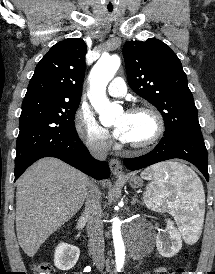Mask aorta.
<instances>
[{
    "mask_svg": "<svg viewBox=\"0 0 215 274\" xmlns=\"http://www.w3.org/2000/svg\"><path fill=\"white\" fill-rule=\"evenodd\" d=\"M120 58L117 55L102 56L90 72L89 100L99 114L103 125L114 122L115 115L121 111V107L111 103L106 96V86L114 77L120 67ZM113 239L115 246V264L120 270L125 261V247L120 233V221L113 219Z\"/></svg>",
    "mask_w": 215,
    "mask_h": 274,
    "instance_id": "1",
    "label": "aorta"
}]
</instances>
